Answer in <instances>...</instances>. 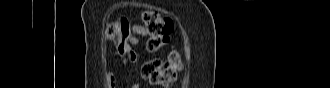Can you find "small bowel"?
Instances as JSON below:
<instances>
[{
	"label": "small bowel",
	"mask_w": 330,
	"mask_h": 88,
	"mask_svg": "<svg viewBox=\"0 0 330 88\" xmlns=\"http://www.w3.org/2000/svg\"><path fill=\"white\" fill-rule=\"evenodd\" d=\"M131 29H132L133 35L129 38L127 51L122 56L125 60H128L132 63H136L137 60H138V55L131 48V46L137 45L139 43V37L140 36H146L147 33H146L145 29L143 28V26L138 25V24L132 25ZM107 82H108V85H109L110 88H116L117 87L116 77H115V74L113 72H109L107 74ZM138 87H139L138 84L131 85V88H138Z\"/></svg>",
	"instance_id": "c3829d8e"
}]
</instances>
